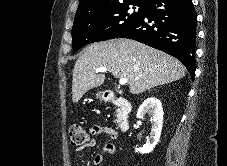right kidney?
Wrapping results in <instances>:
<instances>
[{
	"mask_svg": "<svg viewBox=\"0 0 227 166\" xmlns=\"http://www.w3.org/2000/svg\"><path fill=\"white\" fill-rule=\"evenodd\" d=\"M147 113L152 116L150 137L142 148L135 149L136 152L142 154L153 151L159 142L163 124V108L160 100L154 97L147 98L139 107L137 118L142 119Z\"/></svg>",
	"mask_w": 227,
	"mask_h": 166,
	"instance_id": "obj_1",
	"label": "right kidney"
}]
</instances>
